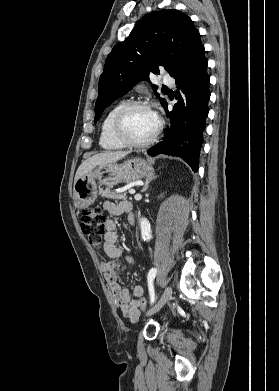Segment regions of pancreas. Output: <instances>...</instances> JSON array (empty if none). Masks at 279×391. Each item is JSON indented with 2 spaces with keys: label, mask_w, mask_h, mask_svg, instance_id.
Returning <instances> with one entry per match:
<instances>
[{
  "label": "pancreas",
  "mask_w": 279,
  "mask_h": 391,
  "mask_svg": "<svg viewBox=\"0 0 279 391\" xmlns=\"http://www.w3.org/2000/svg\"><path fill=\"white\" fill-rule=\"evenodd\" d=\"M99 194L102 197H105V198H108V199H113L115 201L126 200L127 199V193L126 192H116V191L110 190L109 188L100 189Z\"/></svg>",
  "instance_id": "pancreas-1"
}]
</instances>
